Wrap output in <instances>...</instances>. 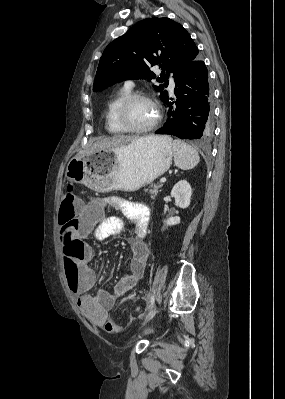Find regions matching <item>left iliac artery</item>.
Segmentation results:
<instances>
[{
  "mask_svg": "<svg viewBox=\"0 0 285 399\" xmlns=\"http://www.w3.org/2000/svg\"><path fill=\"white\" fill-rule=\"evenodd\" d=\"M153 306H154V296L151 297V301H150V305H149L150 309H152Z\"/></svg>",
  "mask_w": 285,
  "mask_h": 399,
  "instance_id": "44dca946",
  "label": "left iliac artery"
}]
</instances>
